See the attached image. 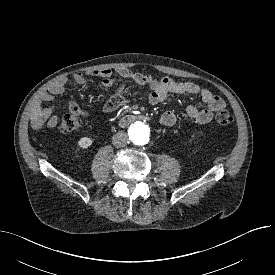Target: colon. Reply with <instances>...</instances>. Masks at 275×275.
<instances>
[{
	"label": "colon",
	"mask_w": 275,
	"mask_h": 275,
	"mask_svg": "<svg viewBox=\"0 0 275 275\" xmlns=\"http://www.w3.org/2000/svg\"><path fill=\"white\" fill-rule=\"evenodd\" d=\"M81 115L76 112H69L62 116L58 129L61 133L67 134L77 130L81 124ZM220 125H228L232 122V115L228 110H220L215 117Z\"/></svg>",
	"instance_id": "5ec220e1"
}]
</instances>
